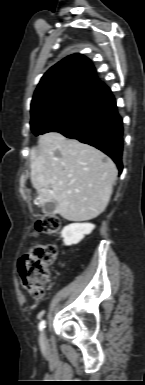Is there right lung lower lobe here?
<instances>
[{"label": "right lung lower lobe", "instance_id": "right-lung-lower-lobe-1", "mask_svg": "<svg viewBox=\"0 0 145 385\" xmlns=\"http://www.w3.org/2000/svg\"><path fill=\"white\" fill-rule=\"evenodd\" d=\"M56 132L103 151L116 163L119 172H122V119L110 89L100 93L88 108Z\"/></svg>", "mask_w": 145, "mask_h": 385}]
</instances>
